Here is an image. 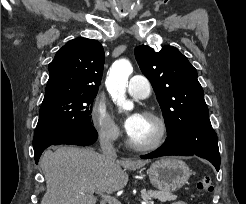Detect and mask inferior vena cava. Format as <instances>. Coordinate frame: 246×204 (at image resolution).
<instances>
[{"label": "inferior vena cava", "mask_w": 246, "mask_h": 204, "mask_svg": "<svg viewBox=\"0 0 246 204\" xmlns=\"http://www.w3.org/2000/svg\"><path fill=\"white\" fill-rule=\"evenodd\" d=\"M100 146L104 158L107 160L116 159L117 155L115 148L113 147V142L108 137H104L100 140Z\"/></svg>", "instance_id": "inferior-vena-cava-1"}]
</instances>
